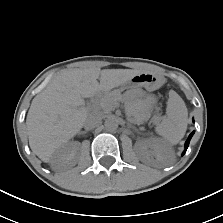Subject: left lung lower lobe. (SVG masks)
<instances>
[{
  "label": "left lung lower lobe",
  "mask_w": 223,
  "mask_h": 223,
  "mask_svg": "<svg viewBox=\"0 0 223 223\" xmlns=\"http://www.w3.org/2000/svg\"><path fill=\"white\" fill-rule=\"evenodd\" d=\"M193 134H194V131L189 135V137H188V139H187V141H186V143H185V149L188 148L190 139H191V137H192ZM185 152H186V151H184L183 154H184Z\"/></svg>",
  "instance_id": "1"
}]
</instances>
